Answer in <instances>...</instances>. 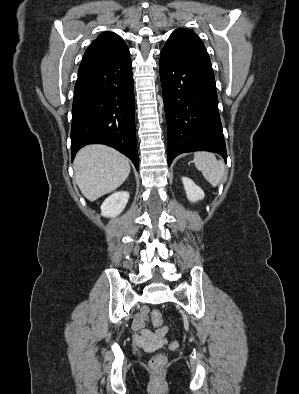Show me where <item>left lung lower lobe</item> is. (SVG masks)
I'll list each match as a JSON object with an SVG mask.
<instances>
[{"mask_svg":"<svg viewBox=\"0 0 299 394\" xmlns=\"http://www.w3.org/2000/svg\"><path fill=\"white\" fill-rule=\"evenodd\" d=\"M168 164L184 152L212 151L227 159L210 59L161 51Z\"/></svg>","mask_w":299,"mask_h":394,"instance_id":"obj_1","label":"left lung lower lobe"}]
</instances>
